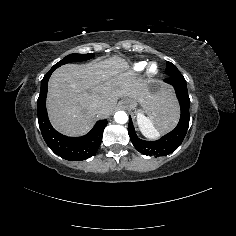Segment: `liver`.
Instances as JSON below:
<instances>
[{"mask_svg": "<svg viewBox=\"0 0 236 236\" xmlns=\"http://www.w3.org/2000/svg\"><path fill=\"white\" fill-rule=\"evenodd\" d=\"M138 101L152 116L168 121L170 110L179 111L177 100H157L147 94L144 79L135 76L129 62L112 55L85 64H65L55 69L47 83L46 111L52 127L67 137H82L95 122L110 116L119 98ZM93 103L99 107L91 109Z\"/></svg>", "mask_w": 236, "mask_h": 236, "instance_id": "obj_1", "label": "liver"}]
</instances>
